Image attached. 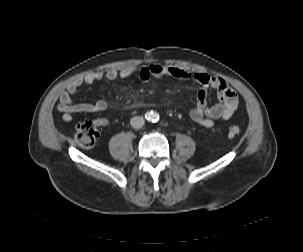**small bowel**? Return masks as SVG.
Instances as JSON below:
<instances>
[{
    "mask_svg": "<svg viewBox=\"0 0 303 252\" xmlns=\"http://www.w3.org/2000/svg\"><path fill=\"white\" fill-rule=\"evenodd\" d=\"M137 75L141 81H147L152 77H169L187 80L193 77L200 85L195 106L189 113L190 119L204 127L211 128L220 121L230 119L240 104L237 93L228 85L226 81L218 76L209 74L191 75L179 67L169 65L152 64L145 67L127 66L122 69H111L107 71H95L81 76L71 82L60 94L57 110L62 114L64 122H70L75 113L103 112L108 105L104 100H97L91 103H74L72 97L84 85H90L101 80L113 81L115 79H126ZM217 93L218 103L209 107L207 104L209 90ZM108 119L100 118L97 124L106 126Z\"/></svg>",
    "mask_w": 303,
    "mask_h": 252,
    "instance_id": "c3829d8e",
    "label": "small bowel"
}]
</instances>
